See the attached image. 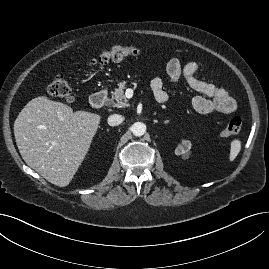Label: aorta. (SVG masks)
I'll return each mask as SVG.
<instances>
[{
	"label": "aorta",
	"mask_w": 269,
	"mask_h": 269,
	"mask_svg": "<svg viewBox=\"0 0 269 269\" xmlns=\"http://www.w3.org/2000/svg\"><path fill=\"white\" fill-rule=\"evenodd\" d=\"M131 131H132L133 135H135L137 137H140V136H142V135L145 134V132H146V126L142 122H135L131 126Z\"/></svg>",
	"instance_id": "1"
}]
</instances>
